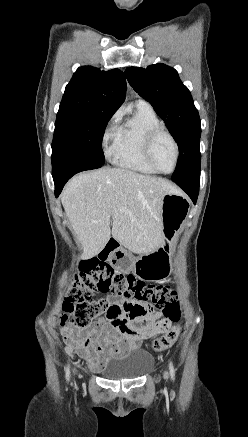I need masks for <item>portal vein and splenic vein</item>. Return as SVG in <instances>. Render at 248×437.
Wrapping results in <instances>:
<instances>
[{"instance_id": "18ae733b", "label": "portal vein and splenic vein", "mask_w": 248, "mask_h": 437, "mask_svg": "<svg viewBox=\"0 0 248 437\" xmlns=\"http://www.w3.org/2000/svg\"><path fill=\"white\" fill-rule=\"evenodd\" d=\"M119 210H120V211H125V209H122V208H120Z\"/></svg>"}]
</instances>
